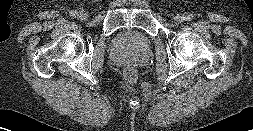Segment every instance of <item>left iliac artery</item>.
<instances>
[{
    "instance_id": "left-iliac-artery-1",
    "label": "left iliac artery",
    "mask_w": 253,
    "mask_h": 131,
    "mask_svg": "<svg viewBox=\"0 0 253 131\" xmlns=\"http://www.w3.org/2000/svg\"><path fill=\"white\" fill-rule=\"evenodd\" d=\"M193 18H194V16L192 13H187L185 16L186 21H191V20H193Z\"/></svg>"
}]
</instances>
